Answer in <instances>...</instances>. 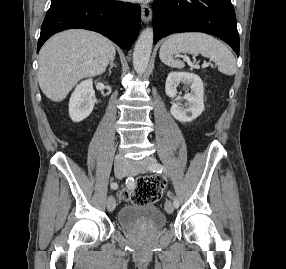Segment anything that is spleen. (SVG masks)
Here are the masks:
<instances>
[{
    "label": "spleen",
    "mask_w": 286,
    "mask_h": 269,
    "mask_svg": "<svg viewBox=\"0 0 286 269\" xmlns=\"http://www.w3.org/2000/svg\"><path fill=\"white\" fill-rule=\"evenodd\" d=\"M178 52L201 54L218 65L221 73L226 75L236 73V60L231 51L222 42L205 33L186 32L171 35L162 44L159 57L169 67L182 69L185 66L184 62L173 58Z\"/></svg>",
    "instance_id": "spleen-1"
}]
</instances>
